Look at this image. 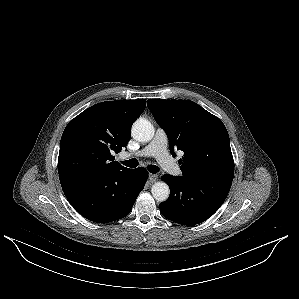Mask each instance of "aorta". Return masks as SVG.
I'll list each match as a JSON object with an SVG mask.
<instances>
[{
	"mask_svg": "<svg viewBox=\"0 0 299 299\" xmlns=\"http://www.w3.org/2000/svg\"><path fill=\"white\" fill-rule=\"evenodd\" d=\"M132 136L139 142H148L154 136V126L150 121L140 118L133 123ZM151 193L155 200L166 201L170 194L169 186L162 181L155 182L151 187Z\"/></svg>",
	"mask_w": 299,
	"mask_h": 299,
	"instance_id": "aorta-1",
	"label": "aorta"
}]
</instances>
